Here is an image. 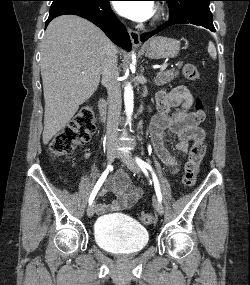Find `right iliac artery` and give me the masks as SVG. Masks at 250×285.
<instances>
[{
  "label": "right iliac artery",
  "mask_w": 250,
  "mask_h": 285,
  "mask_svg": "<svg viewBox=\"0 0 250 285\" xmlns=\"http://www.w3.org/2000/svg\"><path fill=\"white\" fill-rule=\"evenodd\" d=\"M112 169V166L109 165L107 167V169L102 173L101 177L99 178V180L97 181L94 189L91 192V195L89 197V205L93 202L97 192L99 191L100 187L102 186L103 182L105 181L109 171Z\"/></svg>",
  "instance_id": "1"
}]
</instances>
